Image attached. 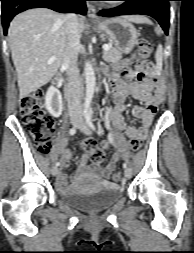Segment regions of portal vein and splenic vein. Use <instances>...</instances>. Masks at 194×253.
<instances>
[{
    "instance_id": "obj_1",
    "label": "portal vein and splenic vein",
    "mask_w": 194,
    "mask_h": 253,
    "mask_svg": "<svg viewBox=\"0 0 194 253\" xmlns=\"http://www.w3.org/2000/svg\"><path fill=\"white\" fill-rule=\"evenodd\" d=\"M102 48H103L104 51H108V50L110 49L109 46H108L107 44H104ZM54 60H55V57H51V58L48 60V63L50 64V63H52Z\"/></svg>"
}]
</instances>
